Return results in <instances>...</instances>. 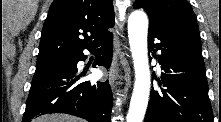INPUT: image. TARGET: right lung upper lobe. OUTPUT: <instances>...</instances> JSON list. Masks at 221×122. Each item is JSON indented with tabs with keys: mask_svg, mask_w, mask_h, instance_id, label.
Segmentation results:
<instances>
[{
	"mask_svg": "<svg viewBox=\"0 0 221 122\" xmlns=\"http://www.w3.org/2000/svg\"><path fill=\"white\" fill-rule=\"evenodd\" d=\"M113 26L112 0H54L37 60L73 57L109 35Z\"/></svg>",
	"mask_w": 221,
	"mask_h": 122,
	"instance_id": "obj_1",
	"label": "right lung upper lobe"
}]
</instances>
